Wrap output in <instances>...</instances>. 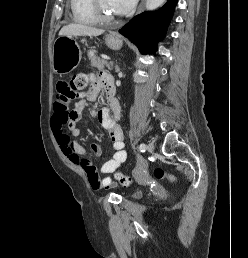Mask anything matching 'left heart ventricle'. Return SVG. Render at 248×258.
I'll return each mask as SVG.
<instances>
[{"label": "left heart ventricle", "instance_id": "left-heart-ventricle-1", "mask_svg": "<svg viewBox=\"0 0 248 258\" xmlns=\"http://www.w3.org/2000/svg\"><path fill=\"white\" fill-rule=\"evenodd\" d=\"M101 6L105 13L115 17V12L111 9L109 0H101Z\"/></svg>", "mask_w": 248, "mask_h": 258}]
</instances>
